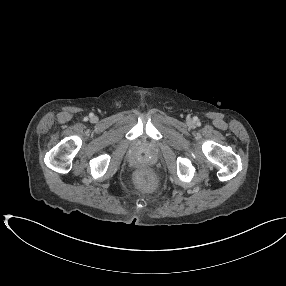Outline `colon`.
I'll use <instances>...</instances> for the list:
<instances>
[{
  "mask_svg": "<svg viewBox=\"0 0 286 286\" xmlns=\"http://www.w3.org/2000/svg\"><path fill=\"white\" fill-rule=\"evenodd\" d=\"M136 182L141 186H145V184L149 186L150 178L147 172L146 171L138 172V174L136 175Z\"/></svg>",
  "mask_w": 286,
  "mask_h": 286,
  "instance_id": "1",
  "label": "colon"
}]
</instances>
